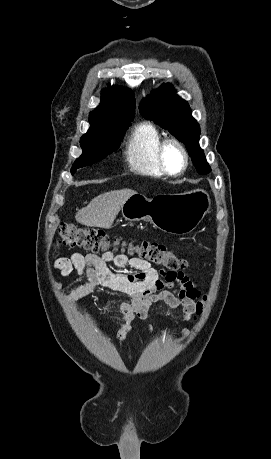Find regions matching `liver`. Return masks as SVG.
<instances>
[{"mask_svg":"<svg viewBox=\"0 0 271 459\" xmlns=\"http://www.w3.org/2000/svg\"><path fill=\"white\" fill-rule=\"evenodd\" d=\"M134 194H137L134 190H115L101 194L93 198L87 208L78 210L75 218L83 226L108 229L118 216L121 206Z\"/></svg>","mask_w":271,"mask_h":459,"instance_id":"obj_1","label":"liver"}]
</instances>
